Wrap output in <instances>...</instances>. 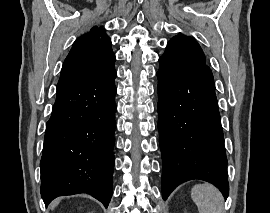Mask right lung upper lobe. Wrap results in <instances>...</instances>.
<instances>
[{"label":"right lung upper lobe","instance_id":"cb5924a9","mask_svg":"<svg viewBox=\"0 0 270 213\" xmlns=\"http://www.w3.org/2000/svg\"><path fill=\"white\" fill-rule=\"evenodd\" d=\"M115 55L105 29L95 26L72 45L63 63L57 90L88 83L115 71Z\"/></svg>","mask_w":270,"mask_h":213}]
</instances>
